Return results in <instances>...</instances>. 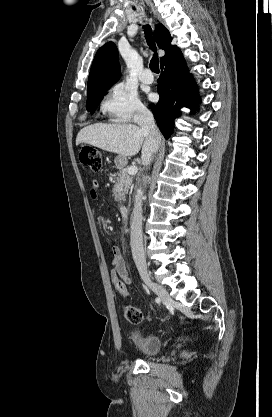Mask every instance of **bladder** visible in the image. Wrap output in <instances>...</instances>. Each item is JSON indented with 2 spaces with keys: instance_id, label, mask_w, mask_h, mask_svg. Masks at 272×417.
I'll return each instance as SVG.
<instances>
[{
  "instance_id": "31cf9c89",
  "label": "bladder",
  "mask_w": 272,
  "mask_h": 417,
  "mask_svg": "<svg viewBox=\"0 0 272 417\" xmlns=\"http://www.w3.org/2000/svg\"><path fill=\"white\" fill-rule=\"evenodd\" d=\"M133 340L137 346L138 351L146 357L156 356L162 346L160 338L156 336L140 337L137 334H134Z\"/></svg>"
}]
</instances>
